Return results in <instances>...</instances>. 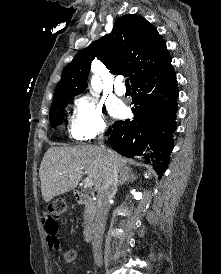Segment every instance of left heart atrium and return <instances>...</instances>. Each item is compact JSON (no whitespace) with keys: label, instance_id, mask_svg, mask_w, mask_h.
<instances>
[{"label":"left heart atrium","instance_id":"39dd6f15","mask_svg":"<svg viewBox=\"0 0 221 274\" xmlns=\"http://www.w3.org/2000/svg\"><path fill=\"white\" fill-rule=\"evenodd\" d=\"M110 113L115 117H122L126 113V107L119 101H115L110 105Z\"/></svg>","mask_w":221,"mask_h":274}]
</instances>
